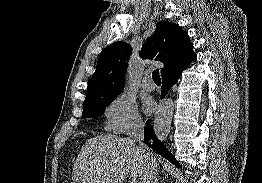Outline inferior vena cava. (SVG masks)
<instances>
[{"label":"inferior vena cava","mask_w":262,"mask_h":183,"mask_svg":"<svg viewBox=\"0 0 262 183\" xmlns=\"http://www.w3.org/2000/svg\"><path fill=\"white\" fill-rule=\"evenodd\" d=\"M129 136L133 141L139 142L138 151L142 158L140 183H158L156 159L143 143L144 122L141 119L134 120L129 131Z\"/></svg>","instance_id":"inferior-vena-cava-1"}]
</instances>
